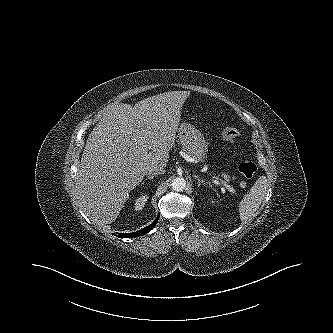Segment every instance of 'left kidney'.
Masks as SVG:
<instances>
[{
	"label": "left kidney",
	"mask_w": 333,
	"mask_h": 333,
	"mask_svg": "<svg viewBox=\"0 0 333 333\" xmlns=\"http://www.w3.org/2000/svg\"><path fill=\"white\" fill-rule=\"evenodd\" d=\"M216 201L214 200V199H211L210 200V204L212 203V204H214Z\"/></svg>",
	"instance_id": "1"
}]
</instances>
